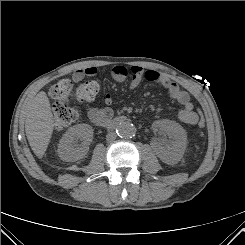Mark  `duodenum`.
<instances>
[{
	"instance_id": "1",
	"label": "duodenum",
	"mask_w": 245,
	"mask_h": 245,
	"mask_svg": "<svg viewBox=\"0 0 245 245\" xmlns=\"http://www.w3.org/2000/svg\"><path fill=\"white\" fill-rule=\"evenodd\" d=\"M124 121H126L125 117H117L111 120L102 121L100 123V126L108 128V129H114L117 126H119L121 123H123Z\"/></svg>"
}]
</instances>
